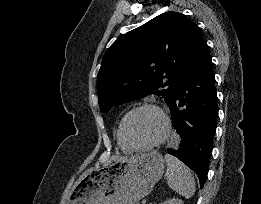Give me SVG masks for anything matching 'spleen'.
I'll use <instances>...</instances> for the list:
<instances>
[{
	"instance_id": "obj_1",
	"label": "spleen",
	"mask_w": 261,
	"mask_h": 204,
	"mask_svg": "<svg viewBox=\"0 0 261 204\" xmlns=\"http://www.w3.org/2000/svg\"><path fill=\"white\" fill-rule=\"evenodd\" d=\"M167 164L166 178L169 187L189 199L195 193V181L191 171L179 159L172 155H165Z\"/></svg>"
}]
</instances>
